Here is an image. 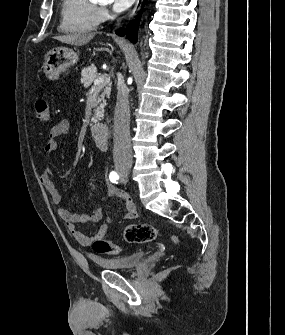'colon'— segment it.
<instances>
[{"label": "colon", "mask_w": 285, "mask_h": 335, "mask_svg": "<svg viewBox=\"0 0 285 335\" xmlns=\"http://www.w3.org/2000/svg\"><path fill=\"white\" fill-rule=\"evenodd\" d=\"M35 112L39 120L47 122L50 119V106L46 98L41 97L35 103ZM157 237V230L150 224H130L123 230V238L128 243H148ZM174 241L179 242L177 237ZM92 248L97 253H107L117 255L121 248L108 241L105 236L96 238L92 243Z\"/></svg>", "instance_id": "obj_1"}]
</instances>
